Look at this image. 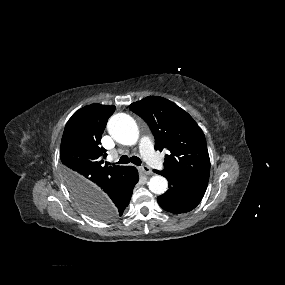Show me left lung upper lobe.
I'll use <instances>...</instances> for the list:
<instances>
[{"label":"left lung upper lobe","mask_w":285,"mask_h":285,"mask_svg":"<svg viewBox=\"0 0 285 285\" xmlns=\"http://www.w3.org/2000/svg\"><path fill=\"white\" fill-rule=\"evenodd\" d=\"M142 117L155 137V149H168L165 175L207 186L210 159L204 133L185 111L161 97H146L130 104Z\"/></svg>","instance_id":"obj_1"}]
</instances>
